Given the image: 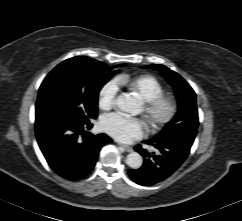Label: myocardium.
I'll return each mask as SVG.
<instances>
[{
  "instance_id": "obj_1",
  "label": "myocardium",
  "mask_w": 242,
  "mask_h": 221,
  "mask_svg": "<svg viewBox=\"0 0 242 221\" xmlns=\"http://www.w3.org/2000/svg\"><path fill=\"white\" fill-rule=\"evenodd\" d=\"M178 111L176 100L169 95L161 94L144 100L143 112L154 128H162L170 124Z\"/></svg>"
}]
</instances>
